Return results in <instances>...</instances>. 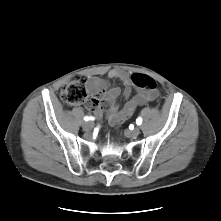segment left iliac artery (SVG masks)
Masks as SVG:
<instances>
[{
	"label": "left iliac artery",
	"instance_id": "1",
	"mask_svg": "<svg viewBox=\"0 0 221 221\" xmlns=\"http://www.w3.org/2000/svg\"><path fill=\"white\" fill-rule=\"evenodd\" d=\"M136 123H137V125H141L142 124V118H137V120H136Z\"/></svg>",
	"mask_w": 221,
	"mask_h": 221
}]
</instances>
